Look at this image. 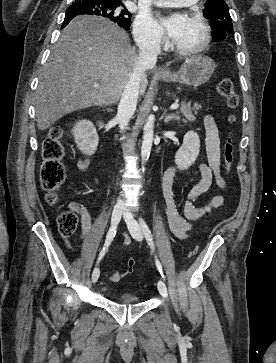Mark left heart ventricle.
Returning <instances> with one entry per match:
<instances>
[{
    "label": "left heart ventricle",
    "instance_id": "left-heart-ventricle-1",
    "mask_svg": "<svg viewBox=\"0 0 276 363\" xmlns=\"http://www.w3.org/2000/svg\"><path fill=\"white\" fill-rule=\"evenodd\" d=\"M203 28L199 22L189 16H184V22L174 43L180 47L192 48L198 46L203 40Z\"/></svg>",
    "mask_w": 276,
    "mask_h": 363
}]
</instances>
